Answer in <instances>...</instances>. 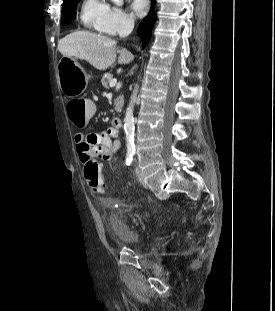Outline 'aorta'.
<instances>
[{"label":"aorta","mask_w":275,"mask_h":311,"mask_svg":"<svg viewBox=\"0 0 275 311\" xmlns=\"http://www.w3.org/2000/svg\"><path fill=\"white\" fill-rule=\"evenodd\" d=\"M111 1L117 6L123 5V0H111ZM138 88L139 86L136 84L131 96L130 103L126 109V114L124 118V130L126 134V145L128 153H133L135 151V144H134L135 126H134L133 110L138 93Z\"/></svg>","instance_id":"obj_1"}]
</instances>
